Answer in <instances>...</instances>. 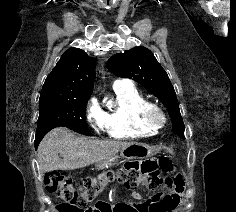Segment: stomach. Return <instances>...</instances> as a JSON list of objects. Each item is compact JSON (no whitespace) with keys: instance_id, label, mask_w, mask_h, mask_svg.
I'll return each instance as SVG.
<instances>
[{"instance_id":"1","label":"stomach","mask_w":236,"mask_h":212,"mask_svg":"<svg viewBox=\"0 0 236 212\" xmlns=\"http://www.w3.org/2000/svg\"><path fill=\"white\" fill-rule=\"evenodd\" d=\"M158 151L155 147H150L143 143H133L130 146L124 148L119 155H113L95 165L96 169H104L119 164V159L133 160L144 159L154 155Z\"/></svg>"}]
</instances>
